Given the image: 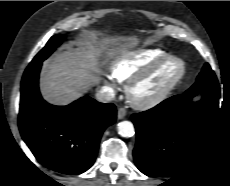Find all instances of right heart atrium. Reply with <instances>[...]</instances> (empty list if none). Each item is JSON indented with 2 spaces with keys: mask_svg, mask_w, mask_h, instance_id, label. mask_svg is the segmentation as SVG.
<instances>
[{
  "mask_svg": "<svg viewBox=\"0 0 230 186\" xmlns=\"http://www.w3.org/2000/svg\"><path fill=\"white\" fill-rule=\"evenodd\" d=\"M106 86L112 89L116 86V81L112 78H109L108 81L106 82Z\"/></svg>",
  "mask_w": 230,
  "mask_h": 186,
  "instance_id": "right-heart-atrium-1",
  "label": "right heart atrium"
}]
</instances>
